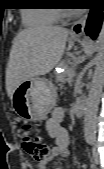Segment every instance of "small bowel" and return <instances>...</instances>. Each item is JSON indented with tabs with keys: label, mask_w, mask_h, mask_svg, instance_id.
<instances>
[{
	"label": "small bowel",
	"mask_w": 104,
	"mask_h": 169,
	"mask_svg": "<svg viewBox=\"0 0 104 169\" xmlns=\"http://www.w3.org/2000/svg\"><path fill=\"white\" fill-rule=\"evenodd\" d=\"M64 117V110L62 108H55L46 122L48 134L54 140V146L52 147L48 161L55 158H65L69 155V136L66 128L63 126ZM48 161L40 162L38 169H46ZM83 167L85 168L86 165L83 164ZM56 169L60 168L56 167Z\"/></svg>",
	"instance_id": "1"
}]
</instances>
